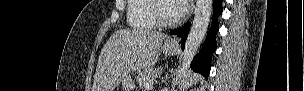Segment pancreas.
<instances>
[{
    "label": "pancreas",
    "instance_id": "obj_1",
    "mask_svg": "<svg viewBox=\"0 0 304 91\" xmlns=\"http://www.w3.org/2000/svg\"><path fill=\"white\" fill-rule=\"evenodd\" d=\"M160 69H152L149 68L147 70H143L137 77V82L139 86L145 91L148 86H151L155 80V78L160 74Z\"/></svg>",
    "mask_w": 304,
    "mask_h": 91
}]
</instances>
